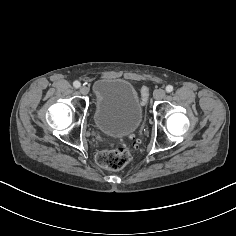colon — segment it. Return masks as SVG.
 I'll use <instances>...</instances> for the list:
<instances>
[{
    "label": "colon",
    "mask_w": 236,
    "mask_h": 236,
    "mask_svg": "<svg viewBox=\"0 0 236 236\" xmlns=\"http://www.w3.org/2000/svg\"><path fill=\"white\" fill-rule=\"evenodd\" d=\"M148 88H141V101L145 104L148 100ZM131 160V153L124 143L116 144L112 149L102 151L96 155V163L106 169L119 170L124 168Z\"/></svg>",
    "instance_id": "obj_1"
}]
</instances>
